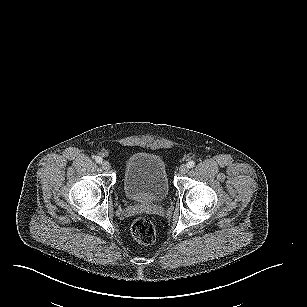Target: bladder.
Returning <instances> with one entry per match:
<instances>
[{"label":"bladder","instance_id":"31cf9c89","mask_svg":"<svg viewBox=\"0 0 307 307\" xmlns=\"http://www.w3.org/2000/svg\"><path fill=\"white\" fill-rule=\"evenodd\" d=\"M122 189L126 197L139 202H159L169 193L167 170L154 154L136 153L126 162Z\"/></svg>","mask_w":307,"mask_h":307}]
</instances>
